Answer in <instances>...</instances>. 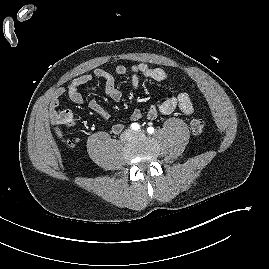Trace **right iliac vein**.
Instances as JSON below:
<instances>
[{
  "mask_svg": "<svg viewBox=\"0 0 269 269\" xmlns=\"http://www.w3.org/2000/svg\"><path fill=\"white\" fill-rule=\"evenodd\" d=\"M133 136H134V133L131 130H126L125 132L121 134V139L123 141H128V140H131Z\"/></svg>",
  "mask_w": 269,
  "mask_h": 269,
  "instance_id": "right-iliac-vein-1",
  "label": "right iliac vein"
}]
</instances>
